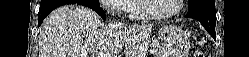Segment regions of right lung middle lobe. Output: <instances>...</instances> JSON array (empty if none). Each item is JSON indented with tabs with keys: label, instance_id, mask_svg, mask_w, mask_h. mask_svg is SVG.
<instances>
[{
	"label": "right lung middle lobe",
	"instance_id": "right-lung-middle-lobe-1",
	"mask_svg": "<svg viewBox=\"0 0 249 57\" xmlns=\"http://www.w3.org/2000/svg\"><path fill=\"white\" fill-rule=\"evenodd\" d=\"M86 3L100 7L99 0H84Z\"/></svg>",
	"mask_w": 249,
	"mask_h": 57
}]
</instances>
